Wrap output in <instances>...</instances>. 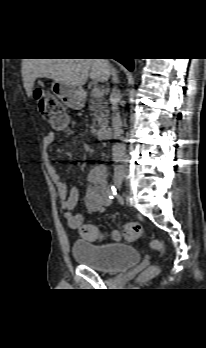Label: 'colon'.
<instances>
[{
	"instance_id": "obj_1",
	"label": "colon",
	"mask_w": 206,
	"mask_h": 348,
	"mask_svg": "<svg viewBox=\"0 0 206 348\" xmlns=\"http://www.w3.org/2000/svg\"><path fill=\"white\" fill-rule=\"evenodd\" d=\"M35 100L40 114L49 122L53 129L64 131L69 128V117L55 96L49 93L36 92ZM79 232L84 239L90 241L100 238V231L91 224L82 225ZM141 233L142 227L140 224L129 222L123 226L122 231H115L112 236L115 240L124 237L128 241H134L140 237ZM151 245L159 253L163 254L165 252V246L162 241L154 239L152 240ZM156 271L157 269L155 267H151L146 271V273L152 275L156 273Z\"/></svg>"
}]
</instances>
